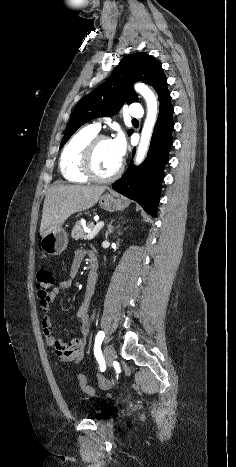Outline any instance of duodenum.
<instances>
[{"label":"duodenum","instance_id":"1","mask_svg":"<svg viewBox=\"0 0 236 467\" xmlns=\"http://www.w3.org/2000/svg\"><path fill=\"white\" fill-rule=\"evenodd\" d=\"M97 273H98V266L96 262L91 261L90 266H89V271H88L89 280L96 281Z\"/></svg>","mask_w":236,"mask_h":467}]
</instances>
